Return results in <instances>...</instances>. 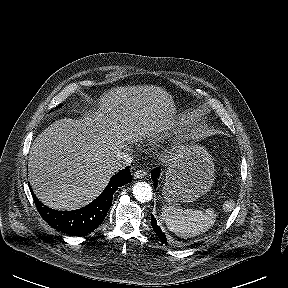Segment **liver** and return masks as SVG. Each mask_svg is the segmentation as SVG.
<instances>
[{"label": "liver", "instance_id": "6515ba94", "mask_svg": "<svg viewBox=\"0 0 288 288\" xmlns=\"http://www.w3.org/2000/svg\"><path fill=\"white\" fill-rule=\"evenodd\" d=\"M92 104L79 120L52 123L30 148V185L52 209L75 210L92 202L127 143L167 136L178 118L172 97L153 85L112 88Z\"/></svg>", "mask_w": 288, "mask_h": 288}]
</instances>
